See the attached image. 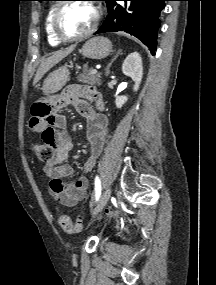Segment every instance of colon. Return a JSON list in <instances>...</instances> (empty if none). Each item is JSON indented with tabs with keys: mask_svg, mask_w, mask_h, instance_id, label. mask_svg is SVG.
<instances>
[{
	"mask_svg": "<svg viewBox=\"0 0 216 285\" xmlns=\"http://www.w3.org/2000/svg\"><path fill=\"white\" fill-rule=\"evenodd\" d=\"M32 153L40 160L48 162L53 158V147H49V144H43V141H34L30 145ZM109 216H116L117 212L109 211ZM61 228L68 234L78 233L82 230V222H73L72 219L66 214H59L58 217Z\"/></svg>",
	"mask_w": 216,
	"mask_h": 285,
	"instance_id": "1",
	"label": "colon"
}]
</instances>
